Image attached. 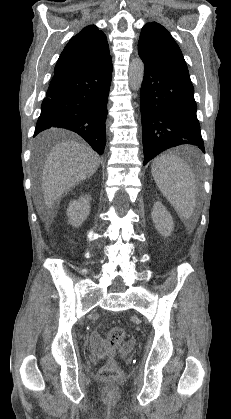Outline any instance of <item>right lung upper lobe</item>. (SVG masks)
Listing matches in <instances>:
<instances>
[{
  "label": "right lung upper lobe",
  "mask_w": 231,
  "mask_h": 419,
  "mask_svg": "<svg viewBox=\"0 0 231 419\" xmlns=\"http://www.w3.org/2000/svg\"><path fill=\"white\" fill-rule=\"evenodd\" d=\"M105 34L87 26L71 38L62 51L54 72L95 69L111 62Z\"/></svg>",
  "instance_id": "obj_1"
}]
</instances>
